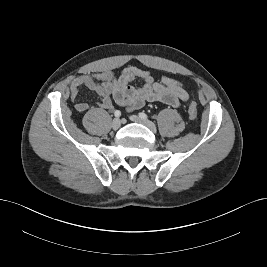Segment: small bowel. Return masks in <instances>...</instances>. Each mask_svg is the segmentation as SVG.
<instances>
[{
  "mask_svg": "<svg viewBox=\"0 0 267 267\" xmlns=\"http://www.w3.org/2000/svg\"><path fill=\"white\" fill-rule=\"evenodd\" d=\"M136 79L143 81L141 87L137 88L131 84ZM82 87L97 94L98 107L104 110H112L114 103L130 111L142 108L147 102H160L177 107L189 99L181 82L167 76L155 80L149 70L136 66L125 68L119 76L108 70L74 78L70 84V96L75 103V109L81 113L89 109L87 103L78 100Z\"/></svg>",
  "mask_w": 267,
  "mask_h": 267,
  "instance_id": "c3829d8e",
  "label": "small bowel"
}]
</instances>
